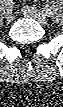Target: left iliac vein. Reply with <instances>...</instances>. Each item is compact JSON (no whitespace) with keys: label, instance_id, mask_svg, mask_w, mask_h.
<instances>
[{"label":"left iliac vein","instance_id":"1","mask_svg":"<svg viewBox=\"0 0 63 107\" xmlns=\"http://www.w3.org/2000/svg\"><path fill=\"white\" fill-rule=\"evenodd\" d=\"M23 13L25 14V16H28V17H31V18L37 20L42 25L47 24V19L44 16V14L35 8L25 7L23 9Z\"/></svg>","mask_w":63,"mask_h":107}]
</instances>
